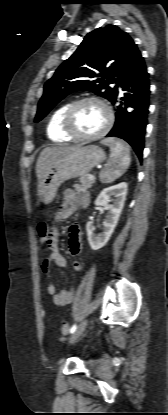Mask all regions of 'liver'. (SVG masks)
Here are the masks:
<instances>
[{"mask_svg":"<svg viewBox=\"0 0 168 415\" xmlns=\"http://www.w3.org/2000/svg\"><path fill=\"white\" fill-rule=\"evenodd\" d=\"M77 146H57V147H47L43 149L40 153L39 158L36 163V175L38 179L48 170L49 166L57 161L59 158L67 155Z\"/></svg>","mask_w":168,"mask_h":415,"instance_id":"1","label":"liver"}]
</instances>
